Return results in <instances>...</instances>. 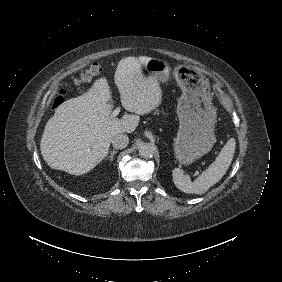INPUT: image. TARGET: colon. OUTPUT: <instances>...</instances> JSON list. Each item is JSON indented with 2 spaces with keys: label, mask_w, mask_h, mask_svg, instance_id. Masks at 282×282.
<instances>
[{
  "label": "colon",
  "mask_w": 282,
  "mask_h": 282,
  "mask_svg": "<svg viewBox=\"0 0 282 282\" xmlns=\"http://www.w3.org/2000/svg\"><path fill=\"white\" fill-rule=\"evenodd\" d=\"M104 66L100 62H94L92 63L88 68L83 70L75 79L76 84H81L85 82H89L95 77H98L103 72ZM63 93H60L59 96H57L54 99L53 102V108L59 107L60 104L63 101Z\"/></svg>",
  "instance_id": "colon-1"
}]
</instances>
